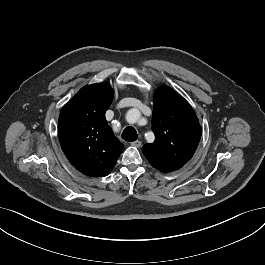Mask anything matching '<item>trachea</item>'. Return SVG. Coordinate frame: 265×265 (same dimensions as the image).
Listing matches in <instances>:
<instances>
[{"label":"trachea","mask_w":265,"mask_h":265,"mask_svg":"<svg viewBox=\"0 0 265 265\" xmlns=\"http://www.w3.org/2000/svg\"><path fill=\"white\" fill-rule=\"evenodd\" d=\"M122 138L128 142H133L138 138V135L133 127H126L122 132Z\"/></svg>","instance_id":"obj_1"}]
</instances>
